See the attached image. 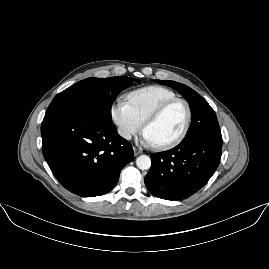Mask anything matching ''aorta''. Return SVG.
<instances>
[{
    "instance_id": "1",
    "label": "aorta",
    "mask_w": 269,
    "mask_h": 269,
    "mask_svg": "<svg viewBox=\"0 0 269 269\" xmlns=\"http://www.w3.org/2000/svg\"><path fill=\"white\" fill-rule=\"evenodd\" d=\"M136 165L140 170H148L151 167V159L147 155H140L136 159Z\"/></svg>"
}]
</instances>
